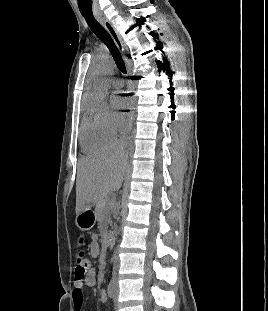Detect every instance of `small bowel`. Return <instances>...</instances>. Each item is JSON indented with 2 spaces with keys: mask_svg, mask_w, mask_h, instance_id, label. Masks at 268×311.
Segmentation results:
<instances>
[{
  "mask_svg": "<svg viewBox=\"0 0 268 311\" xmlns=\"http://www.w3.org/2000/svg\"><path fill=\"white\" fill-rule=\"evenodd\" d=\"M89 252L90 255L97 259L100 255V246L98 243V235L93 234L91 236V242L89 244ZM97 283V273L95 268H90L87 275L82 280H76L74 283V291H73V302L76 311L82 310L83 305V288L87 287H94ZM99 300L102 303H106L107 297L106 292L103 288H101L98 292Z\"/></svg>",
  "mask_w": 268,
  "mask_h": 311,
  "instance_id": "small-bowel-1",
  "label": "small bowel"
}]
</instances>
